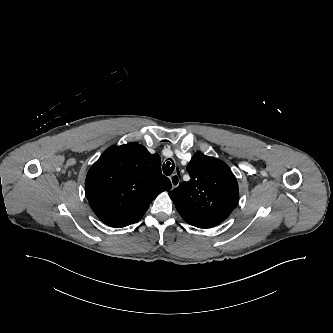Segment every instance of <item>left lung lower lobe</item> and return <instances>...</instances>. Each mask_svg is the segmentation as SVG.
Instances as JSON below:
<instances>
[{"label":"left lung lower lobe","mask_w":333,"mask_h":333,"mask_svg":"<svg viewBox=\"0 0 333 333\" xmlns=\"http://www.w3.org/2000/svg\"><path fill=\"white\" fill-rule=\"evenodd\" d=\"M181 217L190 225L198 228H211L223 222L233 209L228 207L195 208L186 205H176Z\"/></svg>","instance_id":"obj_1"}]
</instances>
